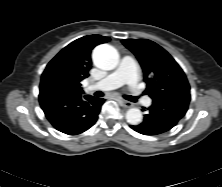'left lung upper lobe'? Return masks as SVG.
<instances>
[{
	"label": "left lung upper lobe",
	"mask_w": 222,
	"mask_h": 187,
	"mask_svg": "<svg viewBox=\"0 0 222 187\" xmlns=\"http://www.w3.org/2000/svg\"><path fill=\"white\" fill-rule=\"evenodd\" d=\"M122 43L132 51L143 69L145 94L153 101L164 97H190L185 73L162 47L147 39H126Z\"/></svg>",
	"instance_id": "obj_1"
}]
</instances>
